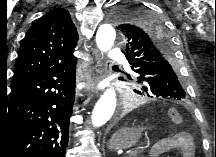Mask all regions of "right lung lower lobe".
I'll use <instances>...</instances> for the list:
<instances>
[{
	"mask_svg": "<svg viewBox=\"0 0 216 157\" xmlns=\"http://www.w3.org/2000/svg\"><path fill=\"white\" fill-rule=\"evenodd\" d=\"M76 60L11 87L0 112V157H65Z\"/></svg>",
	"mask_w": 216,
	"mask_h": 157,
	"instance_id": "98d812e1",
	"label": "right lung lower lobe"
}]
</instances>
